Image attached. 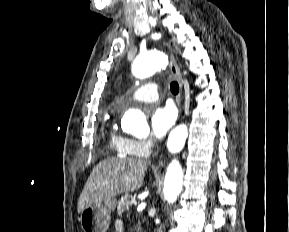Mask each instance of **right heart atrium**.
<instances>
[{
	"mask_svg": "<svg viewBox=\"0 0 289 232\" xmlns=\"http://www.w3.org/2000/svg\"><path fill=\"white\" fill-rule=\"evenodd\" d=\"M131 150L136 156H146L150 154L153 148V141L150 138L131 140Z\"/></svg>",
	"mask_w": 289,
	"mask_h": 232,
	"instance_id": "1",
	"label": "right heart atrium"
}]
</instances>
